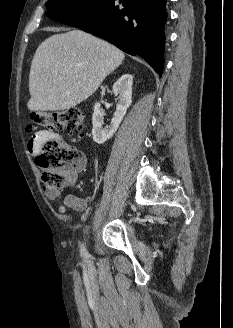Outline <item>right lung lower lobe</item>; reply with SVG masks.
Segmentation results:
<instances>
[{"label":"right lung lower lobe","mask_w":233,"mask_h":328,"mask_svg":"<svg viewBox=\"0 0 233 328\" xmlns=\"http://www.w3.org/2000/svg\"><path fill=\"white\" fill-rule=\"evenodd\" d=\"M119 1L122 4L100 0L58 21L101 37L130 55L143 57L161 77L167 1Z\"/></svg>","instance_id":"right-lung-lower-lobe-1"}]
</instances>
